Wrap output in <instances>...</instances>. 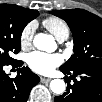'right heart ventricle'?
<instances>
[{"label": "right heart ventricle", "instance_id": "right-heart-ventricle-1", "mask_svg": "<svg viewBox=\"0 0 102 102\" xmlns=\"http://www.w3.org/2000/svg\"><path fill=\"white\" fill-rule=\"evenodd\" d=\"M43 25L58 41L66 40L70 35L68 24L59 17H48L43 20Z\"/></svg>", "mask_w": 102, "mask_h": 102}]
</instances>
